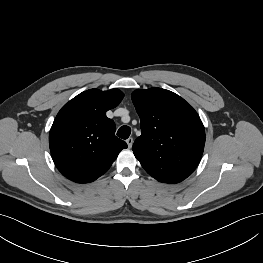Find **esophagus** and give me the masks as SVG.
Listing matches in <instances>:
<instances>
[{
	"label": "esophagus",
	"mask_w": 263,
	"mask_h": 263,
	"mask_svg": "<svg viewBox=\"0 0 263 263\" xmlns=\"http://www.w3.org/2000/svg\"><path fill=\"white\" fill-rule=\"evenodd\" d=\"M133 142H134V140H133L132 137H129V138L126 140V143H127V145H128V148H131V147H132Z\"/></svg>",
	"instance_id": "34e87169"
}]
</instances>
